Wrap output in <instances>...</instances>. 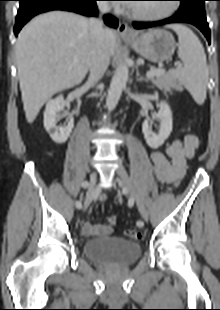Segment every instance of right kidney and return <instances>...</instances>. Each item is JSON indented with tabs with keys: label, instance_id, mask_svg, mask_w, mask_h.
Segmentation results:
<instances>
[{
	"label": "right kidney",
	"instance_id": "obj_1",
	"mask_svg": "<svg viewBox=\"0 0 220 310\" xmlns=\"http://www.w3.org/2000/svg\"><path fill=\"white\" fill-rule=\"evenodd\" d=\"M66 106L63 96H58L47 102L44 112V128L49 133L51 139L57 144L67 141L74 127V119L69 115L66 126H57L58 113Z\"/></svg>",
	"mask_w": 220,
	"mask_h": 310
}]
</instances>
